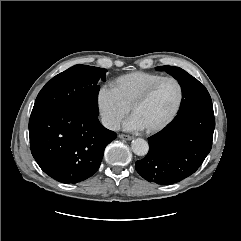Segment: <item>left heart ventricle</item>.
Wrapping results in <instances>:
<instances>
[{"label":"left heart ventricle","mask_w":241,"mask_h":241,"mask_svg":"<svg viewBox=\"0 0 241 241\" xmlns=\"http://www.w3.org/2000/svg\"><path fill=\"white\" fill-rule=\"evenodd\" d=\"M178 100V87L172 81H165L153 92L151 97L137 107L133 115L144 128L154 127L163 122L173 111Z\"/></svg>","instance_id":"left-heart-ventricle-1"}]
</instances>
